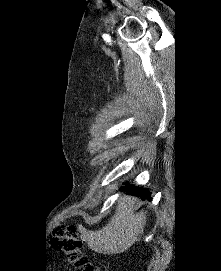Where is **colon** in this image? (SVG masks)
Segmentation results:
<instances>
[{"instance_id": "obj_1", "label": "colon", "mask_w": 221, "mask_h": 271, "mask_svg": "<svg viewBox=\"0 0 221 271\" xmlns=\"http://www.w3.org/2000/svg\"><path fill=\"white\" fill-rule=\"evenodd\" d=\"M58 249L67 260L77 266L78 271H96V266L88 261L83 251V240L72 226L61 225L54 234Z\"/></svg>"}]
</instances>
